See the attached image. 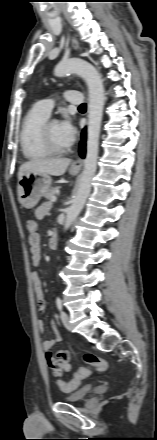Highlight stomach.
<instances>
[{"mask_svg":"<svg viewBox=\"0 0 157 440\" xmlns=\"http://www.w3.org/2000/svg\"><path fill=\"white\" fill-rule=\"evenodd\" d=\"M79 170L70 169L71 175H76ZM52 179L45 173H30L18 180L17 196L22 207L31 209L35 207L41 197L51 188Z\"/></svg>","mask_w":157,"mask_h":440,"instance_id":"1","label":"stomach"}]
</instances>
